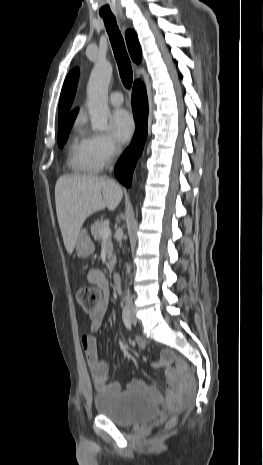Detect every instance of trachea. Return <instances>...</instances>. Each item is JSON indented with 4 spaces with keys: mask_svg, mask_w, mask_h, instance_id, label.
Segmentation results:
<instances>
[{
    "mask_svg": "<svg viewBox=\"0 0 263 465\" xmlns=\"http://www.w3.org/2000/svg\"><path fill=\"white\" fill-rule=\"evenodd\" d=\"M102 18L110 38L121 80L126 88H130L133 82V71L116 18L114 16H102Z\"/></svg>",
    "mask_w": 263,
    "mask_h": 465,
    "instance_id": "trachea-1",
    "label": "trachea"
}]
</instances>
